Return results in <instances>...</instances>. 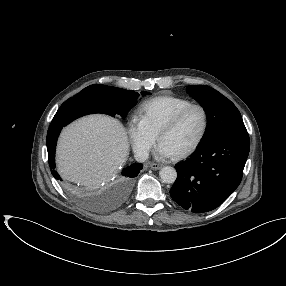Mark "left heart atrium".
Listing matches in <instances>:
<instances>
[{"mask_svg": "<svg viewBox=\"0 0 286 286\" xmlns=\"http://www.w3.org/2000/svg\"><path fill=\"white\" fill-rule=\"evenodd\" d=\"M158 152L161 156H164V157H169L173 155V153L170 150H168L165 146H163L162 144H159Z\"/></svg>", "mask_w": 286, "mask_h": 286, "instance_id": "left-heart-atrium-1", "label": "left heart atrium"}]
</instances>
